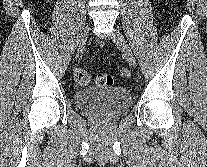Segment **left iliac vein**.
<instances>
[{
    "mask_svg": "<svg viewBox=\"0 0 207 167\" xmlns=\"http://www.w3.org/2000/svg\"><path fill=\"white\" fill-rule=\"evenodd\" d=\"M111 39L122 50L127 62L135 68L137 65L135 56L122 33L115 29Z\"/></svg>",
    "mask_w": 207,
    "mask_h": 167,
    "instance_id": "1",
    "label": "left iliac vein"
}]
</instances>
